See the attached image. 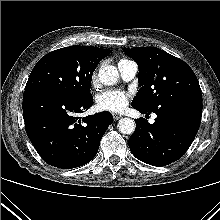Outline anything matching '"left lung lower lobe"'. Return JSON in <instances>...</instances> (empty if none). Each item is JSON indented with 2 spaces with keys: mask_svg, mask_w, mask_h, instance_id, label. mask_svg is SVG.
Wrapping results in <instances>:
<instances>
[{
  "mask_svg": "<svg viewBox=\"0 0 220 220\" xmlns=\"http://www.w3.org/2000/svg\"><path fill=\"white\" fill-rule=\"evenodd\" d=\"M143 114H157L154 124L136 119L129 148L139 160L152 166H166L180 157L193 142L201 122L202 94L189 93L166 101L152 111L134 107Z\"/></svg>",
  "mask_w": 220,
  "mask_h": 220,
  "instance_id": "left-lung-lower-lobe-1",
  "label": "left lung lower lobe"
}]
</instances>
